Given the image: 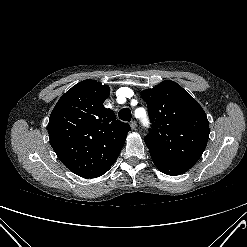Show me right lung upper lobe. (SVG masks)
Here are the masks:
<instances>
[{"label": "right lung upper lobe", "mask_w": 247, "mask_h": 247, "mask_svg": "<svg viewBox=\"0 0 247 247\" xmlns=\"http://www.w3.org/2000/svg\"><path fill=\"white\" fill-rule=\"evenodd\" d=\"M110 88L84 80L55 105L48 124L50 144L61 162L83 178L109 169L120 153L130 126L103 106Z\"/></svg>", "instance_id": "cb5924a9"}]
</instances>
